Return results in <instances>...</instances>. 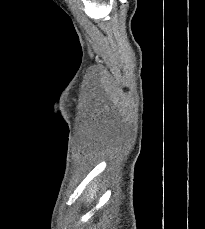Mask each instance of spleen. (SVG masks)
Instances as JSON below:
<instances>
[{
	"label": "spleen",
	"mask_w": 205,
	"mask_h": 229,
	"mask_svg": "<svg viewBox=\"0 0 205 229\" xmlns=\"http://www.w3.org/2000/svg\"><path fill=\"white\" fill-rule=\"evenodd\" d=\"M96 187H97V185L94 184V187L92 186L89 189V195H87V197H89V198H87V201L94 199V196H96V190H97Z\"/></svg>",
	"instance_id": "1"
}]
</instances>
